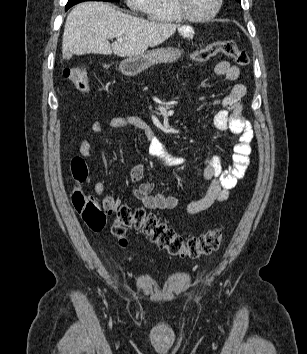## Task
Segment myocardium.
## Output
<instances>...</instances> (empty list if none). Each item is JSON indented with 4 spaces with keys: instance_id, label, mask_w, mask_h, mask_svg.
I'll return each mask as SVG.
<instances>
[{
    "instance_id": "myocardium-1",
    "label": "myocardium",
    "mask_w": 307,
    "mask_h": 354,
    "mask_svg": "<svg viewBox=\"0 0 307 354\" xmlns=\"http://www.w3.org/2000/svg\"><path fill=\"white\" fill-rule=\"evenodd\" d=\"M173 6L176 12L180 15L182 19L194 21V22H206L212 20L220 12L223 4V0H217L214 10L203 16H196L188 12L186 8V0H172Z\"/></svg>"
}]
</instances>
